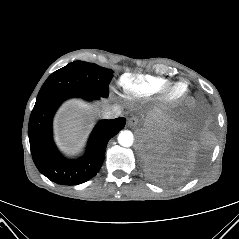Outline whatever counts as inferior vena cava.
<instances>
[{
  "label": "inferior vena cava",
  "instance_id": "obj_1",
  "mask_svg": "<svg viewBox=\"0 0 239 239\" xmlns=\"http://www.w3.org/2000/svg\"><path fill=\"white\" fill-rule=\"evenodd\" d=\"M102 116L106 119H114L122 114V109L118 105H107L105 106L102 111Z\"/></svg>",
  "mask_w": 239,
  "mask_h": 239
}]
</instances>
